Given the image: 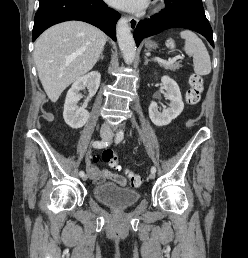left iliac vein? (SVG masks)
<instances>
[{"label": "left iliac vein", "mask_w": 248, "mask_h": 258, "mask_svg": "<svg viewBox=\"0 0 248 258\" xmlns=\"http://www.w3.org/2000/svg\"><path fill=\"white\" fill-rule=\"evenodd\" d=\"M110 138V137H109ZM149 178L152 180V179H154L155 178V173H150V175H149Z\"/></svg>", "instance_id": "left-iliac-vein-1"}]
</instances>
